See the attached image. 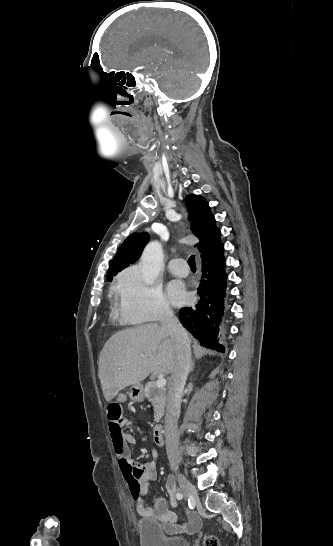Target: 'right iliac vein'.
I'll return each instance as SVG.
<instances>
[{"label": "right iliac vein", "mask_w": 333, "mask_h": 546, "mask_svg": "<svg viewBox=\"0 0 333 546\" xmlns=\"http://www.w3.org/2000/svg\"><path fill=\"white\" fill-rule=\"evenodd\" d=\"M178 484L186 497L191 496L195 492L194 486L182 474L177 475Z\"/></svg>", "instance_id": "obj_1"}]
</instances>
